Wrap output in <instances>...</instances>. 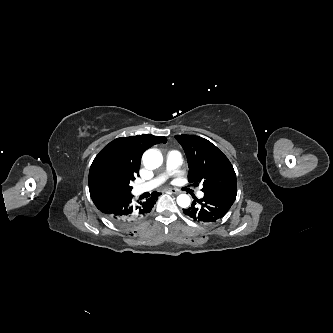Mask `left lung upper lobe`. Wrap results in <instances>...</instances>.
I'll use <instances>...</instances> for the list:
<instances>
[{
  "mask_svg": "<svg viewBox=\"0 0 333 333\" xmlns=\"http://www.w3.org/2000/svg\"><path fill=\"white\" fill-rule=\"evenodd\" d=\"M188 160L190 183L203 184L205 195L235 201L236 174L228 158L210 141L193 135H176Z\"/></svg>",
  "mask_w": 333,
  "mask_h": 333,
  "instance_id": "obj_1",
  "label": "left lung upper lobe"
}]
</instances>
